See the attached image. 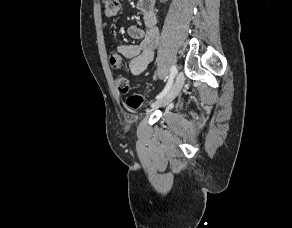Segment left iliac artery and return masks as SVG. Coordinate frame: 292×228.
<instances>
[{
    "instance_id": "44dca946",
    "label": "left iliac artery",
    "mask_w": 292,
    "mask_h": 228,
    "mask_svg": "<svg viewBox=\"0 0 292 228\" xmlns=\"http://www.w3.org/2000/svg\"><path fill=\"white\" fill-rule=\"evenodd\" d=\"M176 74H177V67L175 65H173L171 67L168 82H167L165 88L156 96V99H160V98L164 97L170 91L174 77Z\"/></svg>"
}]
</instances>
